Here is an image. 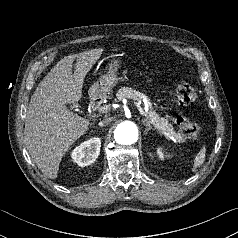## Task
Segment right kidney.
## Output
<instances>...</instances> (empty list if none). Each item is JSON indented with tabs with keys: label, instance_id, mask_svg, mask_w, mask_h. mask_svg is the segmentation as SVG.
<instances>
[{
	"label": "right kidney",
	"instance_id": "obj_1",
	"mask_svg": "<svg viewBox=\"0 0 238 238\" xmlns=\"http://www.w3.org/2000/svg\"><path fill=\"white\" fill-rule=\"evenodd\" d=\"M100 147V138H91L76 147L71 153V158L81 167L88 166L98 158Z\"/></svg>",
	"mask_w": 238,
	"mask_h": 238
}]
</instances>
